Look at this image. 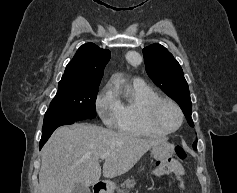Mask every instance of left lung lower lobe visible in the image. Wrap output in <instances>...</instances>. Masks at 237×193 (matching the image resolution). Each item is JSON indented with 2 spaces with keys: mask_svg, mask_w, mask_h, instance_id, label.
<instances>
[{
  "mask_svg": "<svg viewBox=\"0 0 237 193\" xmlns=\"http://www.w3.org/2000/svg\"><path fill=\"white\" fill-rule=\"evenodd\" d=\"M193 147H194V149H196V146H195V145H193Z\"/></svg>",
  "mask_w": 237,
  "mask_h": 193,
  "instance_id": "left-lung-lower-lobe-1",
  "label": "left lung lower lobe"
}]
</instances>
